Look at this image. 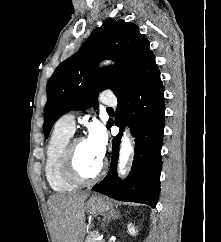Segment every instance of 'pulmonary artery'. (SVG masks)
Masks as SVG:
<instances>
[{"mask_svg": "<svg viewBox=\"0 0 221 242\" xmlns=\"http://www.w3.org/2000/svg\"><path fill=\"white\" fill-rule=\"evenodd\" d=\"M101 102L104 105H113L115 104L114 98H102ZM58 128L61 130L67 131L71 134L75 131V116L73 113L65 114L63 117H61L57 124Z\"/></svg>", "mask_w": 221, "mask_h": 242, "instance_id": "1", "label": "pulmonary artery"}]
</instances>
